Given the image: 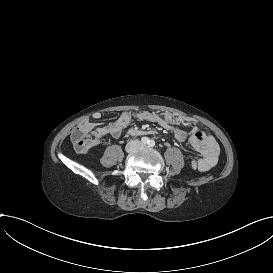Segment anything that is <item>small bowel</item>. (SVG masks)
I'll use <instances>...</instances> for the list:
<instances>
[{
	"label": "small bowel",
	"instance_id": "obj_1",
	"mask_svg": "<svg viewBox=\"0 0 273 273\" xmlns=\"http://www.w3.org/2000/svg\"><path fill=\"white\" fill-rule=\"evenodd\" d=\"M102 116L101 112H95L92 115V119H86L94 124L95 131L90 136L95 137L98 143L107 134L116 138L120 137L123 130L134 120L148 121L170 130L177 141H188L192 148L202 155L201 165L198 168L200 171H208L217 163L219 145L214 136L204 132L197 126H193L195 121L188 116L172 112L131 111L123 112L115 121L106 125L99 122ZM183 126L193 127L185 129Z\"/></svg>",
	"mask_w": 273,
	"mask_h": 273
}]
</instances>
